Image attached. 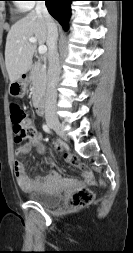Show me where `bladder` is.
<instances>
[{"mask_svg": "<svg viewBox=\"0 0 133 253\" xmlns=\"http://www.w3.org/2000/svg\"><path fill=\"white\" fill-rule=\"evenodd\" d=\"M28 198L45 207V208H53L61 204L63 200V196L59 192L49 191L46 189H37L31 191L28 194Z\"/></svg>", "mask_w": 133, "mask_h": 253, "instance_id": "bladder-1", "label": "bladder"}]
</instances>
